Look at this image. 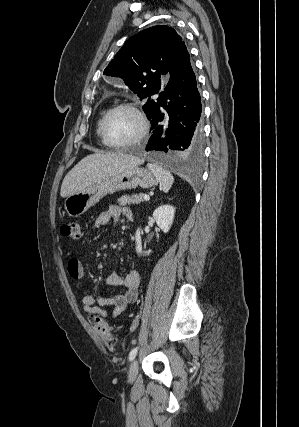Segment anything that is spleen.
<instances>
[{
	"mask_svg": "<svg viewBox=\"0 0 299 427\" xmlns=\"http://www.w3.org/2000/svg\"><path fill=\"white\" fill-rule=\"evenodd\" d=\"M147 167L159 182L161 189L168 192L174 182L173 175L168 170L153 163H148Z\"/></svg>",
	"mask_w": 299,
	"mask_h": 427,
	"instance_id": "spleen-1",
	"label": "spleen"
}]
</instances>
